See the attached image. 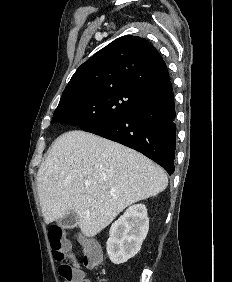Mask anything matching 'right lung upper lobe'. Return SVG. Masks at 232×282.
Masks as SVG:
<instances>
[{"mask_svg": "<svg viewBox=\"0 0 232 282\" xmlns=\"http://www.w3.org/2000/svg\"><path fill=\"white\" fill-rule=\"evenodd\" d=\"M172 87L165 62L144 38L123 36L83 63L60 101L110 89H128L147 99Z\"/></svg>", "mask_w": 232, "mask_h": 282, "instance_id": "cb5924a9", "label": "right lung upper lobe"}]
</instances>
